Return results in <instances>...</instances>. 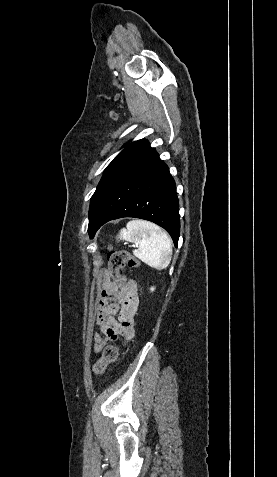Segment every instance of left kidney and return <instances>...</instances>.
Here are the masks:
<instances>
[{
    "instance_id": "5707ae66",
    "label": "left kidney",
    "mask_w": 277,
    "mask_h": 477,
    "mask_svg": "<svg viewBox=\"0 0 277 477\" xmlns=\"http://www.w3.org/2000/svg\"><path fill=\"white\" fill-rule=\"evenodd\" d=\"M151 291H154V287H151Z\"/></svg>"
}]
</instances>
